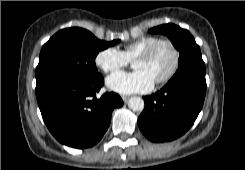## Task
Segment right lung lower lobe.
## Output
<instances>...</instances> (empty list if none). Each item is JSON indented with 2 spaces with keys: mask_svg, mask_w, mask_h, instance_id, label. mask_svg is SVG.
I'll use <instances>...</instances> for the list:
<instances>
[{
  "mask_svg": "<svg viewBox=\"0 0 245 170\" xmlns=\"http://www.w3.org/2000/svg\"><path fill=\"white\" fill-rule=\"evenodd\" d=\"M103 84L100 75L62 81L36 92L43 120L60 143L83 149L95 145L103 137L112 111L123 105L121 97L114 92L96 97Z\"/></svg>",
  "mask_w": 245,
  "mask_h": 170,
  "instance_id": "obj_1",
  "label": "right lung lower lobe"
}]
</instances>
